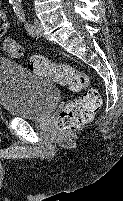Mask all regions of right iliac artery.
<instances>
[{
  "label": "right iliac artery",
  "mask_w": 123,
  "mask_h": 201,
  "mask_svg": "<svg viewBox=\"0 0 123 201\" xmlns=\"http://www.w3.org/2000/svg\"><path fill=\"white\" fill-rule=\"evenodd\" d=\"M9 2H10L11 4H13V3L15 2V0H9Z\"/></svg>",
  "instance_id": "obj_1"
}]
</instances>
